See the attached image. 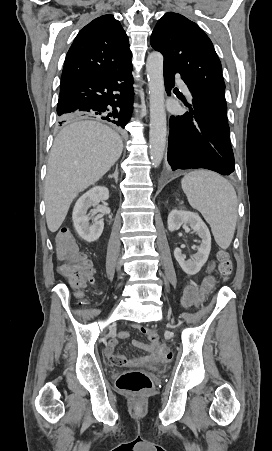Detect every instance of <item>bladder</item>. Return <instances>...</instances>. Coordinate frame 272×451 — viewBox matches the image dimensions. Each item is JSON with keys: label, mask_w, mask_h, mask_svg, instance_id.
<instances>
[{"label": "bladder", "mask_w": 272, "mask_h": 451, "mask_svg": "<svg viewBox=\"0 0 272 451\" xmlns=\"http://www.w3.org/2000/svg\"><path fill=\"white\" fill-rule=\"evenodd\" d=\"M144 366L149 369H160V363L156 361L147 362L144 364Z\"/></svg>", "instance_id": "obj_1"}]
</instances>
